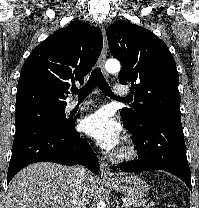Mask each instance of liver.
Returning a JSON list of instances; mask_svg holds the SVG:
<instances>
[{
  "label": "liver",
  "instance_id": "liver-1",
  "mask_svg": "<svg viewBox=\"0 0 199 208\" xmlns=\"http://www.w3.org/2000/svg\"><path fill=\"white\" fill-rule=\"evenodd\" d=\"M75 188L73 167L34 163L19 171L10 182L6 208H71ZM96 188L95 177L88 174L81 193L87 204Z\"/></svg>",
  "mask_w": 199,
  "mask_h": 208
}]
</instances>
